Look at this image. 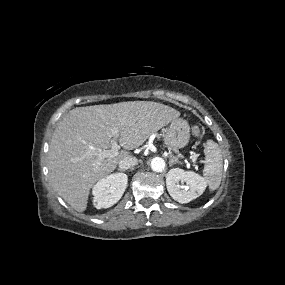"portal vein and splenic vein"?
<instances>
[{
  "label": "portal vein and splenic vein",
  "mask_w": 285,
  "mask_h": 285,
  "mask_svg": "<svg viewBox=\"0 0 285 285\" xmlns=\"http://www.w3.org/2000/svg\"><path fill=\"white\" fill-rule=\"evenodd\" d=\"M119 131L118 129H113L111 131V149L108 150H96L94 155L97 156V163H100L104 158H113L119 154V145H118ZM180 158H184V155L178 153L177 155ZM191 160L195 162L197 160V155L190 156Z\"/></svg>",
  "instance_id": "1"
}]
</instances>
